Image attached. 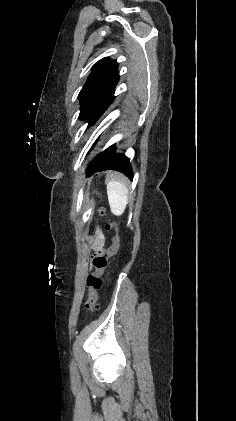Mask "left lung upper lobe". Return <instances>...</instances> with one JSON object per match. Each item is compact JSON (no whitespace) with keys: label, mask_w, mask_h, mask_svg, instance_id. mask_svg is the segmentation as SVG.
<instances>
[{"label":"left lung upper lobe","mask_w":236,"mask_h":421,"mask_svg":"<svg viewBox=\"0 0 236 421\" xmlns=\"http://www.w3.org/2000/svg\"><path fill=\"white\" fill-rule=\"evenodd\" d=\"M119 81L118 63L103 58L95 63L92 72L79 93L81 120L96 122L114 99Z\"/></svg>","instance_id":"5c2ea615"}]
</instances>
